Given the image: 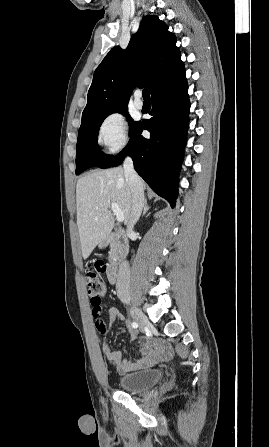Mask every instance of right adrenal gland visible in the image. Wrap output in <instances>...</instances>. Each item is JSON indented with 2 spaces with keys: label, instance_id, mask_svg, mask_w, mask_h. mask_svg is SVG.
<instances>
[{
  "label": "right adrenal gland",
  "instance_id": "obj_1",
  "mask_svg": "<svg viewBox=\"0 0 269 447\" xmlns=\"http://www.w3.org/2000/svg\"><path fill=\"white\" fill-rule=\"evenodd\" d=\"M148 210H150V206H148V204H147V198H146L142 216H145V214H146V212H148Z\"/></svg>",
  "mask_w": 269,
  "mask_h": 447
}]
</instances>
